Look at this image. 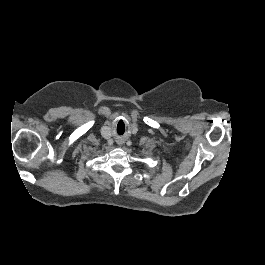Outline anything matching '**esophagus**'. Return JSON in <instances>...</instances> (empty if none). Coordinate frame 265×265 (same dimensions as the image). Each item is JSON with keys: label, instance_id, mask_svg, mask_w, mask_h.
Masks as SVG:
<instances>
[{"label": "esophagus", "instance_id": "1", "mask_svg": "<svg viewBox=\"0 0 265 265\" xmlns=\"http://www.w3.org/2000/svg\"><path fill=\"white\" fill-rule=\"evenodd\" d=\"M116 142L118 145H122L124 143V140L123 138H117Z\"/></svg>", "mask_w": 265, "mask_h": 265}]
</instances>
